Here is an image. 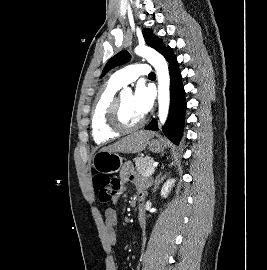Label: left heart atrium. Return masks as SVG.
<instances>
[{
    "mask_svg": "<svg viewBox=\"0 0 267 270\" xmlns=\"http://www.w3.org/2000/svg\"><path fill=\"white\" fill-rule=\"evenodd\" d=\"M153 104V94L149 87L139 83L133 95V105L135 110L143 117L151 109Z\"/></svg>",
    "mask_w": 267,
    "mask_h": 270,
    "instance_id": "39dd6f15",
    "label": "left heart atrium"
}]
</instances>
